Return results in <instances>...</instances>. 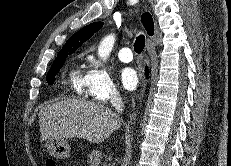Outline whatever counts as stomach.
Here are the masks:
<instances>
[{
  "label": "stomach",
  "mask_w": 231,
  "mask_h": 166,
  "mask_svg": "<svg viewBox=\"0 0 231 166\" xmlns=\"http://www.w3.org/2000/svg\"><path fill=\"white\" fill-rule=\"evenodd\" d=\"M50 155L57 159H66L70 156V145L65 139H50L46 143Z\"/></svg>",
  "instance_id": "stomach-1"
}]
</instances>
